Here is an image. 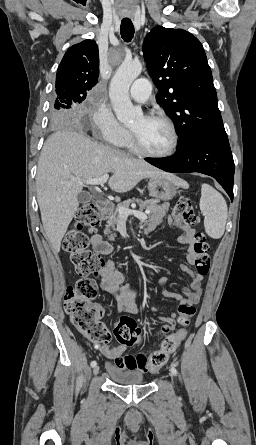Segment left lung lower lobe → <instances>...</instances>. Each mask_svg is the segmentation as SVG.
<instances>
[{
    "instance_id": "left-lung-lower-lobe-1",
    "label": "left lung lower lobe",
    "mask_w": 256,
    "mask_h": 445,
    "mask_svg": "<svg viewBox=\"0 0 256 445\" xmlns=\"http://www.w3.org/2000/svg\"><path fill=\"white\" fill-rule=\"evenodd\" d=\"M145 160L167 172H199L212 176L233 200L234 161L225 130L197 132L179 144L173 157Z\"/></svg>"
}]
</instances>
